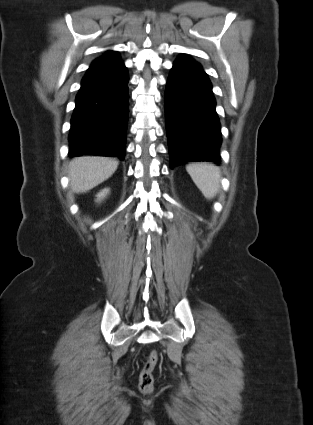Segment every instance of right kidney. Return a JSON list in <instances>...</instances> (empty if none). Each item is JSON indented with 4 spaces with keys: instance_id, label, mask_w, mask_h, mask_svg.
Segmentation results:
<instances>
[{
    "instance_id": "1",
    "label": "right kidney",
    "mask_w": 313,
    "mask_h": 425,
    "mask_svg": "<svg viewBox=\"0 0 313 425\" xmlns=\"http://www.w3.org/2000/svg\"><path fill=\"white\" fill-rule=\"evenodd\" d=\"M109 193V189H104L102 190L98 195H97V200L100 201L102 198H104L107 194Z\"/></svg>"
}]
</instances>
